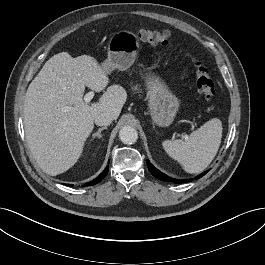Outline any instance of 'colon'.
Instances as JSON below:
<instances>
[{
	"instance_id": "obj_1",
	"label": "colon",
	"mask_w": 265,
	"mask_h": 265,
	"mask_svg": "<svg viewBox=\"0 0 265 265\" xmlns=\"http://www.w3.org/2000/svg\"><path fill=\"white\" fill-rule=\"evenodd\" d=\"M140 41L149 44H169L171 41V33L167 30L157 31L150 29H141L137 33ZM195 77L196 86L199 93L206 102H212L217 96V90L211 77L210 69L200 60H196Z\"/></svg>"
}]
</instances>
